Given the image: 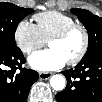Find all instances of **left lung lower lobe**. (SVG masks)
Wrapping results in <instances>:
<instances>
[{
    "label": "left lung lower lobe",
    "mask_w": 102,
    "mask_h": 102,
    "mask_svg": "<svg viewBox=\"0 0 102 102\" xmlns=\"http://www.w3.org/2000/svg\"><path fill=\"white\" fill-rule=\"evenodd\" d=\"M62 73L67 86L56 95L58 102L102 101V51L84 56L75 69Z\"/></svg>",
    "instance_id": "left-lung-lower-lobe-1"
}]
</instances>
